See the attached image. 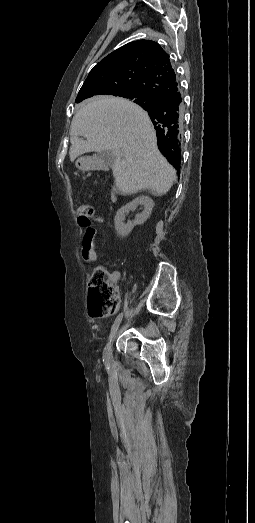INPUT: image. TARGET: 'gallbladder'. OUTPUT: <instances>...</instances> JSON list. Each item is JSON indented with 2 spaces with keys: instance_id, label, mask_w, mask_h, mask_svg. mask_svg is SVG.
<instances>
[{
  "instance_id": "1",
  "label": "gallbladder",
  "mask_w": 255,
  "mask_h": 523,
  "mask_svg": "<svg viewBox=\"0 0 255 523\" xmlns=\"http://www.w3.org/2000/svg\"><path fill=\"white\" fill-rule=\"evenodd\" d=\"M99 158L100 160H103L106 166H113L115 162V156H113L110 150H105V152H99Z\"/></svg>"
}]
</instances>
